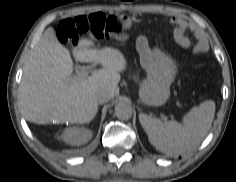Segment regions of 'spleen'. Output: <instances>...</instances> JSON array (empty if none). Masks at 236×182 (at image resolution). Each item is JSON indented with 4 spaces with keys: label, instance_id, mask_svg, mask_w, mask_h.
<instances>
[{
    "label": "spleen",
    "instance_id": "1",
    "mask_svg": "<svg viewBox=\"0 0 236 182\" xmlns=\"http://www.w3.org/2000/svg\"><path fill=\"white\" fill-rule=\"evenodd\" d=\"M215 113V103L205 101L193 107L183 118V123L175 120L161 122L147 114H139V120L148 135L150 143L160 152L179 155L199 145L206 137Z\"/></svg>",
    "mask_w": 236,
    "mask_h": 182
}]
</instances>
